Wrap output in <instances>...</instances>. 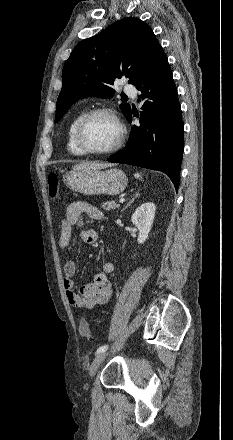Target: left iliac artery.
<instances>
[{
	"label": "left iliac artery",
	"instance_id": "obj_1",
	"mask_svg": "<svg viewBox=\"0 0 233 440\" xmlns=\"http://www.w3.org/2000/svg\"><path fill=\"white\" fill-rule=\"evenodd\" d=\"M107 349H108V345H103V346H101V347H99V348L97 349L96 354H99V353L105 352Z\"/></svg>",
	"mask_w": 233,
	"mask_h": 440
}]
</instances>
